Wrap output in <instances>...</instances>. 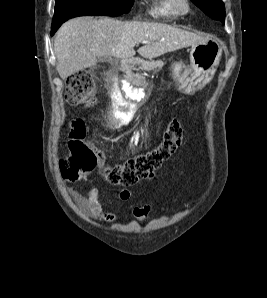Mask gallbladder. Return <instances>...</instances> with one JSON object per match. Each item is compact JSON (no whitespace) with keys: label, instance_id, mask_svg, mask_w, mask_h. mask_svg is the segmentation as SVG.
I'll list each match as a JSON object with an SVG mask.
<instances>
[{"label":"gallbladder","instance_id":"bac80fb5","mask_svg":"<svg viewBox=\"0 0 267 298\" xmlns=\"http://www.w3.org/2000/svg\"><path fill=\"white\" fill-rule=\"evenodd\" d=\"M112 60V58L109 56V57H99L98 58V61H110Z\"/></svg>","mask_w":267,"mask_h":298}]
</instances>
